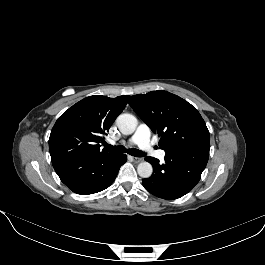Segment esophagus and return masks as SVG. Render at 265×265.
<instances>
[{
  "label": "esophagus",
  "mask_w": 265,
  "mask_h": 265,
  "mask_svg": "<svg viewBox=\"0 0 265 265\" xmlns=\"http://www.w3.org/2000/svg\"><path fill=\"white\" fill-rule=\"evenodd\" d=\"M132 159L136 162V163H140L143 161V158H138V157H132Z\"/></svg>",
  "instance_id": "esophagus-1"
}]
</instances>
